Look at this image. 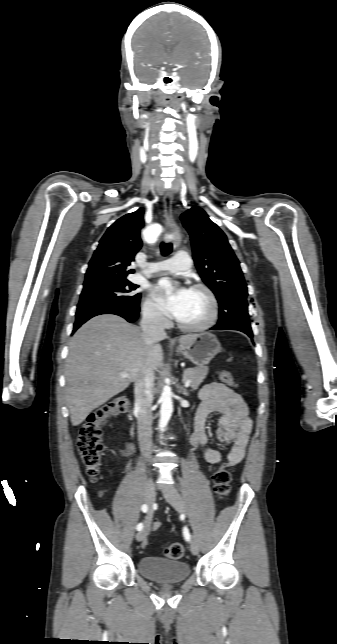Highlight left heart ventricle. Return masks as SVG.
<instances>
[{
    "instance_id": "left-heart-ventricle-1",
    "label": "left heart ventricle",
    "mask_w": 337,
    "mask_h": 644,
    "mask_svg": "<svg viewBox=\"0 0 337 644\" xmlns=\"http://www.w3.org/2000/svg\"><path fill=\"white\" fill-rule=\"evenodd\" d=\"M210 313V305L205 294L189 290L183 308L176 319L186 325H199L206 321Z\"/></svg>"
}]
</instances>
